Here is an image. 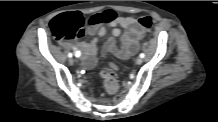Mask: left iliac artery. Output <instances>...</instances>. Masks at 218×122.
<instances>
[{
  "label": "left iliac artery",
  "instance_id": "44dca946",
  "mask_svg": "<svg viewBox=\"0 0 218 122\" xmlns=\"http://www.w3.org/2000/svg\"><path fill=\"white\" fill-rule=\"evenodd\" d=\"M140 57H141V58H144V57H145V54H144V53H141V54H140Z\"/></svg>",
  "mask_w": 218,
  "mask_h": 122
}]
</instances>
